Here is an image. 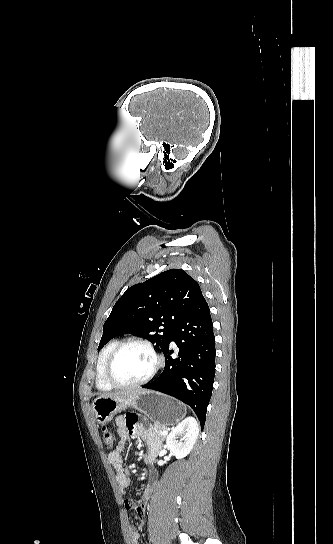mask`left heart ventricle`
<instances>
[{"instance_id":"obj_1","label":"left heart ventricle","mask_w":333,"mask_h":544,"mask_svg":"<svg viewBox=\"0 0 333 544\" xmlns=\"http://www.w3.org/2000/svg\"><path fill=\"white\" fill-rule=\"evenodd\" d=\"M153 365V357L146 349L140 346H128L116 358L113 376L120 382H135L146 377Z\"/></svg>"}]
</instances>
